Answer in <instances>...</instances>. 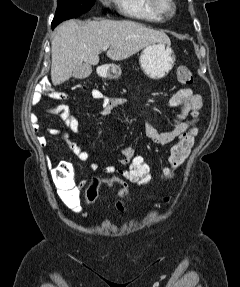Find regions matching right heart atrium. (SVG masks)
<instances>
[{"label":"right heart atrium","instance_id":"obj_1","mask_svg":"<svg viewBox=\"0 0 240 287\" xmlns=\"http://www.w3.org/2000/svg\"><path fill=\"white\" fill-rule=\"evenodd\" d=\"M101 1H103L104 3H107V2H108V0H101Z\"/></svg>","mask_w":240,"mask_h":287}]
</instances>
